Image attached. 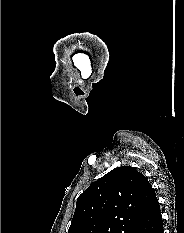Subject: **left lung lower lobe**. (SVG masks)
Segmentation results:
<instances>
[{"instance_id":"left-lung-lower-lobe-1","label":"left lung lower lobe","mask_w":184,"mask_h":233,"mask_svg":"<svg viewBox=\"0 0 184 233\" xmlns=\"http://www.w3.org/2000/svg\"><path fill=\"white\" fill-rule=\"evenodd\" d=\"M163 231L160 207L154 194L134 233H163Z\"/></svg>"}]
</instances>
